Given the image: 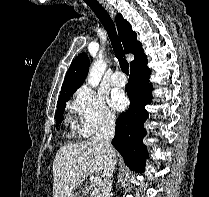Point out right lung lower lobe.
<instances>
[{
  "instance_id": "right-lung-lower-lobe-1",
  "label": "right lung lower lobe",
  "mask_w": 209,
  "mask_h": 197,
  "mask_svg": "<svg viewBox=\"0 0 209 197\" xmlns=\"http://www.w3.org/2000/svg\"><path fill=\"white\" fill-rule=\"evenodd\" d=\"M130 71L131 75L126 88L130 106L116 120L115 137L112 144L131 170L144 172V160L148 158L146 146L142 143V139L146 135L143 123L148 117L144 106L152 100L147 57L131 66Z\"/></svg>"
}]
</instances>
